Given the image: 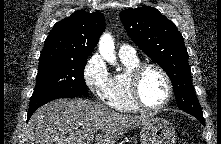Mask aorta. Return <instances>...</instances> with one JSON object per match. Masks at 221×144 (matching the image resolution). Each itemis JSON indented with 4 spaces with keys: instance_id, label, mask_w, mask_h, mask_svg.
<instances>
[{
    "instance_id": "762f6f07",
    "label": "aorta",
    "mask_w": 221,
    "mask_h": 144,
    "mask_svg": "<svg viewBox=\"0 0 221 144\" xmlns=\"http://www.w3.org/2000/svg\"><path fill=\"white\" fill-rule=\"evenodd\" d=\"M99 52L101 56L110 64L116 63L115 46L112 36L105 33L99 40Z\"/></svg>"
}]
</instances>
